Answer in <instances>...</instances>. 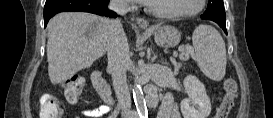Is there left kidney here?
Instances as JSON below:
<instances>
[{
  "instance_id": "5707ae66",
  "label": "left kidney",
  "mask_w": 273,
  "mask_h": 118,
  "mask_svg": "<svg viewBox=\"0 0 273 118\" xmlns=\"http://www.w3.org/2000/svg\"><path fill=\"white\" fill-rule=\"evenodd\" d=\"M188 98L181 101L180 108L184 118H207L211 112L210 98L202 82L192 75L183 81Z\"/></svg>"
}]
</instances>
